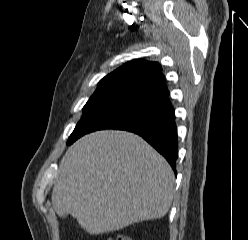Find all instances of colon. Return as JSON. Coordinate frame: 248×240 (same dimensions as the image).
Instances as JSON below:
<instances>
[{
    "label": "colon",
    "instance_id": "colon-1",
    "mask_svg": "<svg viewBox=\"0 0 248 240\" xmlns=\"http://www.w3.org/2000/svg\"><path fill=\"white\" fill-rule=\"evenodd\" d=\"M107 240H133V239L128 235H119L116 238H109Z\"/></svg>",
    "mask_w": 248,
    "mask_h": 240
}]
</instances>
